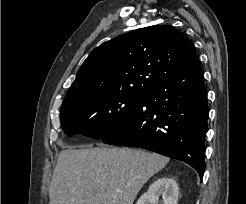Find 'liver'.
<instances>
[{
  "instance_id": "liver-1",
  "label": "liver",
  "mask_w": 246,
  "mask_h": 204,
  "mask_svg": "<svg viewBox=\"0 0 246 204\" xmlns=\"http://www.w3.org/2000/svg\"><path fill=\"white\" fill-rule=\"evenodd\" d=\"M169 158L140 149H64L53 171L50 204H133Z\"/></svg>"
}]
</instances>
